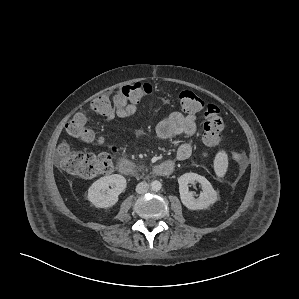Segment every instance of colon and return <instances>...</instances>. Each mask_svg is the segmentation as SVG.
<instances>
[{
  "label": "colon",
  "instance_id": "1",
  "mask_svg": "<svg viewBox=\"0 0 299 299\" xmlns=\"http://www.w3.org/2000/svg\"><path fill=\"white\" fill-rule=\"evenodd\" d=\"M153 91L152 85L144 82H135L122 87L115 95H119L130 102L139 103ZM115 95H101L92 100L90 108L93 112L106 115L113 107ZM180 108L189 114L201 112L204 116L203 141L213 149L223 146L222 134L224 121L218 106L207 103L194 92L185 90L178 96ZM67 133L87 143L100 142L96 133L88 127L87 118L84 114L74 115L66 125ZM234 161L240 166L247 165V157L242 152H232ZM113 154L109 152L98 155L83 153L73 150L68 144L59 146V165L61 169L71 175L82 178H92L100 174H106L113 169Z\"/></svg>",
  "mask_w": 299,
  "mask_h": 299
}]
</instances>
